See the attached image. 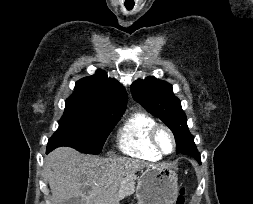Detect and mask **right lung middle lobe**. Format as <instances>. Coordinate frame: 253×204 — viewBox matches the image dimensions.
<instances>
[{"mask_svg": "<svg viewBox=\"0 0 253 204\" xmlns=\"http://www.w3.org/2000/svg\"><path fill=\"white\" fill-rule=\"evenodd\" d=\"M121 116L69 97L59 128L49 139L47 148L69 146L82 153L99 154Z\"/></svg>", "mask_w": 253, "mask_h": 204, "instance_id": "1", "label": "right lung middle lobe"}]
</instances>
